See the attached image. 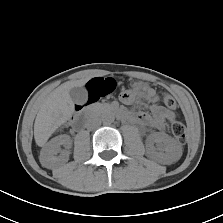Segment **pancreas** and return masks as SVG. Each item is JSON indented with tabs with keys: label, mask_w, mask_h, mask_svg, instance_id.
Instances as JSON below:
<instances>
[{
	"label": "pancreas",
	"mask_w": 223,
	"mask_h": 223,
	"mask_svg": "<svg viewBox=\"0 0 223 223\" xmlns=\"http://www.w3.org/2000/svg\"><path fill=\"white\" fill-rule=\"evenodd\" d=\"M103 107H105V105H103V104H97L96 109H102Z\"/></svg>",
	"instance_id": "obj_1"
}]
</instances>
